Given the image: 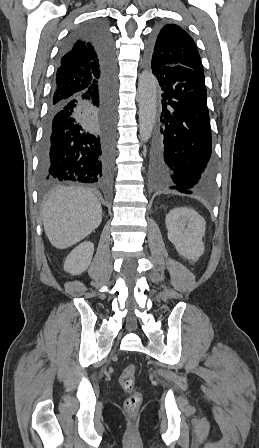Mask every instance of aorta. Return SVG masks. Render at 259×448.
Listing matches in <instances>:
<instances>
[{
	"label": "aorta",
	"instance_id": "obj_1",
	"mask_svg": "<svg viewBox=\"0 0 259 448\" xmlns=\"http://www.w3.org/2000/svg\"><path fill=\"white\" fill-rule=\"evenodd\" d=\"M139 132L142 142L152 135L157 112V82L150 71H143L138 80Z\"/></svg>",
	"mask_w": 259,
	"mask_h": 448
}]
</instances>
